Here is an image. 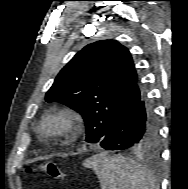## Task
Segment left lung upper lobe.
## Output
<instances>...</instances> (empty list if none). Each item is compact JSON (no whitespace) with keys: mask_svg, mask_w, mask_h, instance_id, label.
Wrapping results in <instances>:
<instances>
[{"mask_svg":"<svg viewBox=\"0 0 188 189\" xmlns=\"http://www.w3.org/2000/svg\"><path fill=\"white\" fill-rule=\"evenodd\" d=\"M142 94L128 49L115 40H102L85 46L64 66L45 100L79 112L86 124V141L99 143Z\"/></svg>","mask_w":188,"mask_h":189,"instance_id":"obj_1","label":"left lung upper lobe"}]
</instances>
